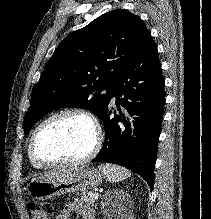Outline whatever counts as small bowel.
Listing matches in <instances>:
<instances>
[{"instance_id":"c3829d8e","label":"small bowel","mask_w":211,"mask_h":219,"mask_svg":"<svg viewBox=\"0 0 211 219\" xmlns=\"http://www.w3.org/2000/svg\"><path fill=\"white\" fill-rule=\"evenodd\" d=\"M71 212H74L81 219H95L94 214L86 207L73 202L69 207L62 209L55 219H70Z\"/></svg>"}]
</instances>
